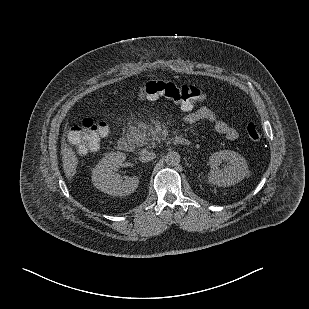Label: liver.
Returning <instances> with one entry per match:
<instances>
[{
	"label": "liver",
	"mask_w": 309,
	"mask_h": 309,
	"mask_svg": "<svg viewBox=\"0 0 309 309\" xmlns=\"http://www.w3.org/2000/svg\"><path fill=\"white\" fill-rule=\"evenodd\" d=\"M62 154H63L62 156L63 169L66 177L70 179L76 173L78 160L75 155V152L68 146H65L62 149Z\"/></svg>",
	"instance_id": "obj_1"
}]
</instances>
